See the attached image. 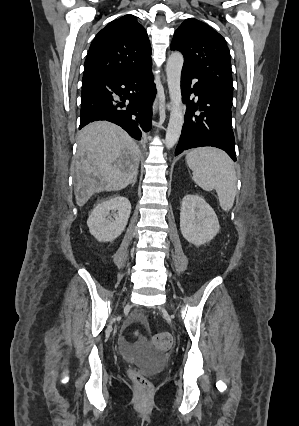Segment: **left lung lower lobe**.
<instances>
[{"instance_id":"obj_1","label":"left lung lower lobe","mask_w":299,"mask_h":426,"mask_svg":"<svg viewBox=\"0 0 299 426\" xmlns=\"http://www.w3.org/2000/svg\"><path fill=\"white\" fill-rule=\"evenodd\" d=\"M192 78L198 79L190 89ZM182 100L187 105L182 135L175 155L186 149L214 146L220 148L236 161L235 140L231 123L232 99L223 95L208 83L199 79L187 68L181 74ZM198 96L197 103L189 100L190 94ZM201 113L195 115L194 111Z\"/></svg>"}]
</instances>
